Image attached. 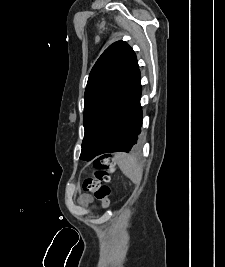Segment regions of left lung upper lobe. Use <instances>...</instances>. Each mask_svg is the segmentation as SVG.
I'll use <instances>...</instances> for the list:
<instances>
[{
    "instance_id": "1",
    "label": "left lung upper lobe",
    "mask_w": 225,
    "mask_h": 267,
    "mask_svg": "<svg viewBox=\"0 0 225 267\" xmlns=\"http://www.w3.org/2000/svg\"><path fill=\"white\" fill-rule=\"evenodd\" d=\"M138 67L134 51L124 41L111 44L93 66L84 95L85 134L80 159L92 160L106 143L122 98ZM141 141L140 134L135 148Z\"/></svg>"
}]
</instances>
